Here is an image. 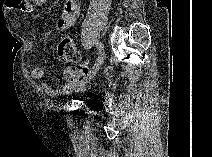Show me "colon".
Segmentation results:
<instances>
[{
  "label": "colon",
  "instance_id": "5ec220e1",
  "mask_svg": "<svg viewBox=\"0 0 212 157\" xmlns=\"http://www.w3.org/2000/svg\"><path fill=\"white\" fill-rule=\"evenodd\" d=\"M59 57L66 63L75 64V75L84 79L88 74V68L82 64L80 52L77 49L74 39L70 36H64L60 39L57 46Z\"/></svg>",
  "mask_w": 212,
  "mask_h": 157
}]
</instances>
